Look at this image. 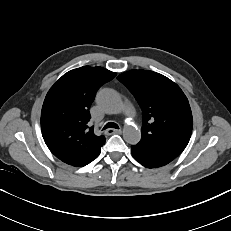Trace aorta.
I'll list each match as a JSON object with an SVG mask.
<instances>
[{
  "label": "aorta",
  "instance_id": "obj_1",
  "mask_svg": "<svg viewBox=\"0 0 231 231\" xmlns=\"http://www.w3.org/2000/svg\"><path fill=\"white\" fill-rule=\"evenodd\" d=\"M96 102L101 109L112 114H119L123 108L120 96L112 89L101 90L97 94ZM123 138L127 143L135 145L141 139L140 130L135 126L126 125L123 128Z\"/></svg>",
  "mask_w": 231,
  "mask_h": 231
}]
</instances>
